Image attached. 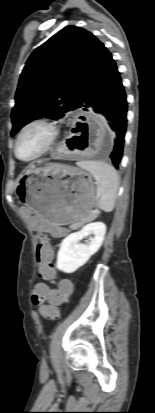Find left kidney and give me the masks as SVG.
Here are the masks:
<instances>
[{
  "label": "left kidney",
  "instance_id": "obj_1",
  "mask_svg": "<svg viewBox=\"0 0 155 413\" xmlns=\"http://www.w3.org/2000/svg\"><path fill=\"white\" fill-rule=\"evenodd\" d=\"M106 233V225L93 222L85 225L80 231L69 234L63 239L57 254V269L65 273H73L82 267L101 247ZM89 244L80 241L91 236Z\"/></svg>",
  "mask_w": 155,
  "mask_h": 413
}]
</instances>
